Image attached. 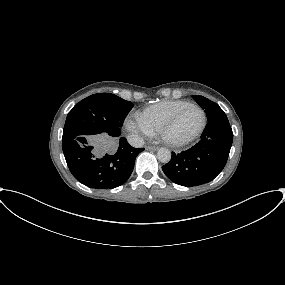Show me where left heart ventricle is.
<instances>
[{
  "instance_id": "left-heart-ventricle-1",
  "label": "left heart ventricle",
  "mask_w": 285,
  "mask_h": 285,
  "mask_svg": "<svg viewBox=\"0 0 285 285\" xmlns=\"http://www.w3.org/2000/svg\"><path fill=\"white\" fill-rule=\"evenodd\" d=\"M202 123V114L196 108L187 109L176 126L171 130L170 136L174 139L186 138L195 133Z\"/></svg>"
}]
</instances>
